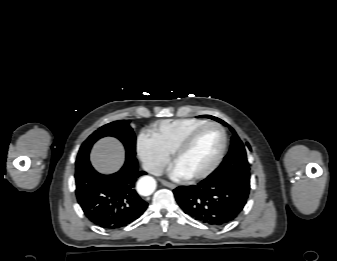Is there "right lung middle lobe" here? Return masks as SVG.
Wrapping results in <instances>:
<instances>
[{
  "label": "right lung middle lobe",
  "instance_id": "1",
  "mask_svg": "<svg viewBox=\"0 0 337 261\" xmlns=\"http://www.w3.org/2000/svg\"><path fill=\"white\" fill-rule=\"evenodd\" d=\"M129 122V121H128ZM128 122L125 120L114 121L108 123L98 130H96L93 134H91L86 141L82 144L77 159L76 165L80 162L88 159L90 149L93 144L100 138L105 136H113L119 139L125 146L126 152L132 155H135V145H136V137L133 132V129L128 125Z\"/></svg>",
  "mask_w": 337,
  "mask_h": 261
}]
</instances>
